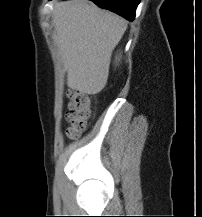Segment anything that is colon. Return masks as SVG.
<instances>
[{
	"label": "colon",
	"mask_w": 202,
	"mask_h": 217,
	"mask_svg": "<svg viewBox=\"0 0 202 217\" xmlns=\"http://www.w3.org/2000/svg\"><path fill=\"white\" fill-rule=\"evenodd\" d=\"M68 97L66 118L69 126L66 134L69 138H76L86 129L92 118V98L90 95L76 90L69 91Z\"/></svg>",
	"instance_id": "colon-1"
}]
</instances>
